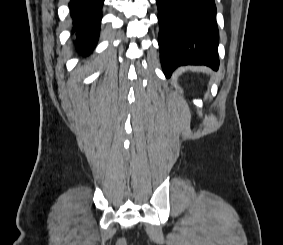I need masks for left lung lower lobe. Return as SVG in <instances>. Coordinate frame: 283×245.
Instances as JSON below:
<instances>
[{
    "instance_id": "obj_1",
    "label": "left lung lower lobe",
    "mask_w": 283,
    "mask_h": 245,
    "mask_svg": "<svg viewBox=\"0 0 283 245\" xmlns=\"http://www.w3.org/2000/svg\"><path fill=\"white\" fill-rule=\"evenodd\" d=\"M163 71L170 77L181 65L218 70V28L214 0H156Z\"/></svg>"
}]
</instances>
